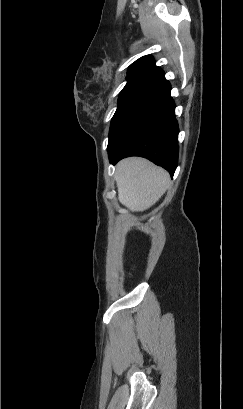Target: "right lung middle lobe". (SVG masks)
Returning <instances> with one entry per match:
<instances>
[{"mask_svg":"<svg viewBox=\"0 0 243 409\" xmlns=\"http://www.w3.org/2000/svg\"><path fill=\"white\" fill-rule=\"evenodd\" d=\"M161 83L162 81L160 80L149 78L127 81V84L119 94L117 110L111 121L108 145L116 137L129 116Z\"/></svg>","mask_w":243,"mask_h":409,"instance_id":"1","label":"right lung middle lobe"}]
</instances>
